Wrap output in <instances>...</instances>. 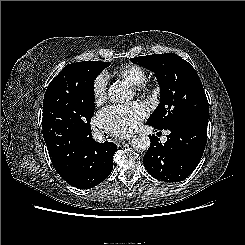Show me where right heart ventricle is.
Returning a JSON list of instances; mask_svg holds the SVG:
<instances>
[{"label":"right heart ventricle","mask_w":245,"mask_h":245,"mask_svg":"<svg viewBox=\"0 0 245 245\" xmlns=\"http://www.w3.org/2000/svg\"><path fill=\"white\" fill-rule=\"evenodd\" d=\"M115 75L129 83L137 86L146 79V71L143 67L136 64H126L115 71Z\"/></svg>","instance_id":"right-heart-ventricle-1"}]
</instances>
